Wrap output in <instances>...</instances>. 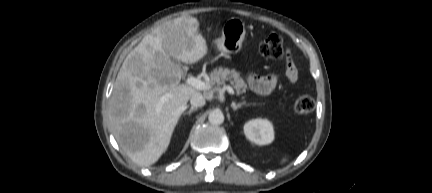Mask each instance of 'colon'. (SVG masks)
I'll use <instances>...</instances> for the list:
<instances>
[{"label":"colon","mask_w":432,"mask_h":193,"mask_svg":"<svg viewBox=\"0 0 432 193\" xmlns=\"http://www.w3.org/2000/svg\"><path fill=\"white\" fill-rule=\"evenodd\" d=\"M260 52L263 56L273 59L281 58L285 55L283 40L278 35H270L260 44ZM293 107L297 113L307 114L314 110L315 101L307 95L302 94L293 101Z\"/></svg>","instance_id":"5ec220e1"}]
</instances>
